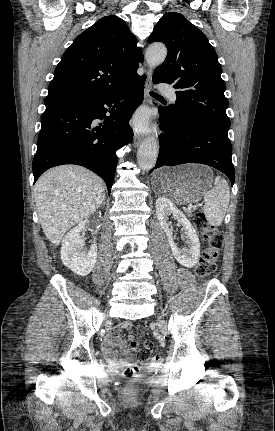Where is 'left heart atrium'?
<instances>
[{
	"instance_id": "obj_1",
	"label": "left heart atrium",
	"mask_w": 275,
	"mask_h": 431,
	"mask_svg": "<svg viewBox=\"0 0 275 431\" xmlns=\"http://www.w3.org/2000/svg\"><path fill=\"white\" fill-rule=\"evenodd\" d=\"M133 123L137 130H146L149 124L147 113L146 112L138 113Z\"/></svg>"
}]
</instances>
